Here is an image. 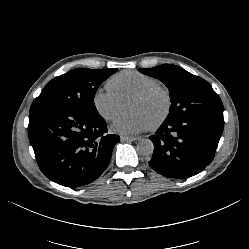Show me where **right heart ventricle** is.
Listing matches in <instances>:
<instances>
[{
  "mask_svg": "<svg viewBox=\"0 0 249 249\" xmlns=\"http://www.w3.org/2000/svg\"><path fill=\"white\" fill-rule=\"evenodd\" d=\"M157 84L159 82L155 77L135 70L118 72L107 81L108 88L121 101H125L146 88Z\"/></svg>",
  "mask_w": 249,
  "mask_h": 249,
  "instance_id": "e07e8e85",
  "label": "right heart ventricle"
}]
</instances>
